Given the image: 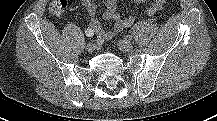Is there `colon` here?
Instances as JSON below:
<instances>
[{"instance_id":"obj_1","label":"colon","mask_w":217,"mask_h":121,"mask_svg":"<svg viewBox=\"0 0 217 121\" xmlns=\"http://www.w3.org/2000/svg\"><path fill=\"white\" fill-rule=\"evenodd\" d=\"M67 0H53L49 5V11L55 16H60L64 12Z\"/></svg>"}]
</instances>
